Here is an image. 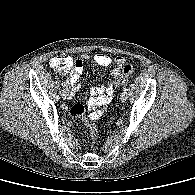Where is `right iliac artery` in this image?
<instances>
[{
  "instance_id": "right-iliac-artery-1",
  "label": "right iliac artery",
  "mask_w": 195,
  "mask_h": 195,
  "mask_svg": "<svg viewBox=\"0 0 195 195\" xmlns=\"http://www.w3.org/2000/svg\"><path fill=\"white\" fill-rule=\"evenodd\" d=\"M63 87H65L66 85L65 84H62Z\"/></svg>"
}]
</instances>
